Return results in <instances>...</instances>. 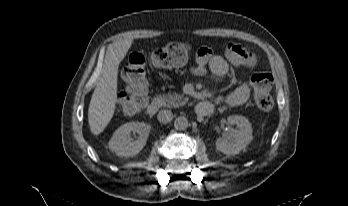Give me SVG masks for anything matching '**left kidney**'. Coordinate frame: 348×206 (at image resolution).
Here are the masks:
<instances>
[{"label":"left kidney","instance_id":"left-kidney-1","mask_svg":"<svg viewBox=\"0 0 348 206\" xmlns=\"http://www.w3.org/2000/svg\"><path fill=\"white\" fill-rule=\"evenodd\" d=\"M227 122L230 125H236V129L218 139L216 148L225 155H235L252 141V127L247 118L239 115L229 116Z\"/></svg>","mask_w":348,"mask_h":206}]
</instances>
